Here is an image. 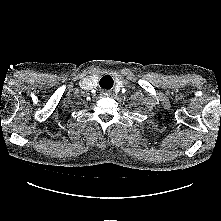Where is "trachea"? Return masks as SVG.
I'll return each instance as SVG.
<instances>
[{"label": "trachea", "instance_id": "3493384b", "mask_svg": "<svg viewBox=\"0 0 221 221\" xmlns=\"http://www.w3.org/2000/svg\"><path fill=\"white\" fill-rule=\"evenodd\" d=\"M100 87L110 89L113 86V79L109 75L103 76L99 81Z\"/></svg>", "mask_w": 221, "mask_h": 221}]
</instances>
